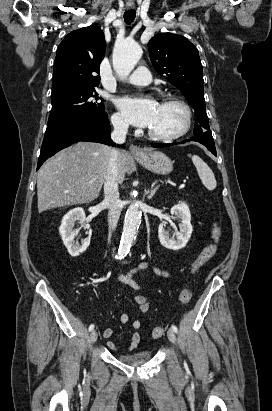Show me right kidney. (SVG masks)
Masks as SVG:
<instances>
[{"instance_id":"ca27d5eb","label":"right kidney","mask_w":272,"mask_h":411,"mask_svg":"<svg viewBox=\"0 0 272 411\" xmlns=\"http://www.w3.org/2000/svg\"><path fill=\"white\" fill-rule=\"evenodd\" d=\"M85 218L86 216L83 208L77 207L70 210L67 214H65L61 221L59 232L62 237L63 243L68 250V253L73 257H77L83 252H85L88 246L90 245L92 230L90 229L89 224H85ZM77 221H79V223L84 228L89 230L88 237L84 240V242L81 245L75 244L74 241L76 233L73 231V227L75 222Z\"/></svg>"}]
</instances>
